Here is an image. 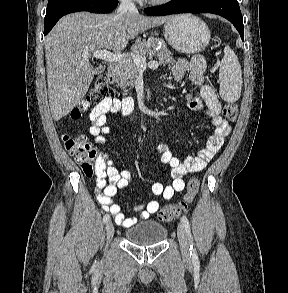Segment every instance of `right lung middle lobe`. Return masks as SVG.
<instances>
[{
    "label": "right lung middle lobe",
    "instance_id": "right-lung-middle-lobe-1",
    "mask_svg": "<svg viewBox=\"0 0 288 293\" xmlns=\"http://www.w3.org/2000/svg\"><path fill=\"white\" fill-rule=\"evenodd\" d=\"M67 1H70V0H49L48 5H47V9H50L56 5H59L61 3L67 2ZM98 1L107 2V1H112V0H98Z\"/></svg>",
    "mask_w": 288,
    "mask_h": 293
}]
</instances>
